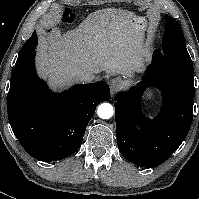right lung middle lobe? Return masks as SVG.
<instances>
[{
  "mask_svg": "<svg viewBox=\"0 0 199 199\" xmlns=\"http://www.w3.org/2000/svg\"><path fill=\"white\" fill-rule=\"evenodd\" d=\"M37 45V35L36 32L32 34L29 40H27L24 45L22 46V49L18 55V59L16 63L20 62L24 59L26 55H28L30 52L34 51Z\"/></svg>",
  "mask_w": 199,
  "mask_h": 199,
  "instance_id": "dd1d6c3e",
  "label": "right lung middle lobe"
}]
</instances>
